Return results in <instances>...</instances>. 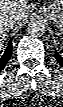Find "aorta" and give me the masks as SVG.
Returning a JSON list of instances; mask_svg holds the SVG:
<instances>
[{
  "mask_svg": "<svg viewBox=\"0 0 63 107\" xmlns=\"http://www.w3.org/2000/svg\"><path fill=\"white\" fill-rule=\"evenodd\" d=\"M45 31V25L41 20L33 19L27 26V32L33 37H41Z\"/></svg>",
  "mask_w": 63,
  "mask_h": 107,
  "instance_id": "1",
  "label": "aorta"
}]
</instances>
